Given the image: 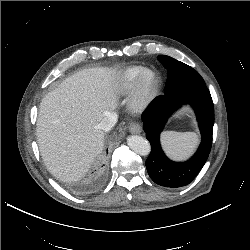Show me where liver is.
I'll use <instances>...</instances> for the list:
<instances>
[{"label": "liver", "instance_id": "liver-1", "mask_svg": "<svg viewBox=\"0 0 250 250\" xmlns=\"http://www.w3.org/2000/svg\"><path fill=\"white\" fill-rule=\"evenodd\" d=\"M119 73L88 68L67 77L46 94L39 107L36 135L49 172L62 181H77L104 147L99 123L118 103Z\"/></svg>", "mask_w": 250, "mask_h": 250}]
</instances>
